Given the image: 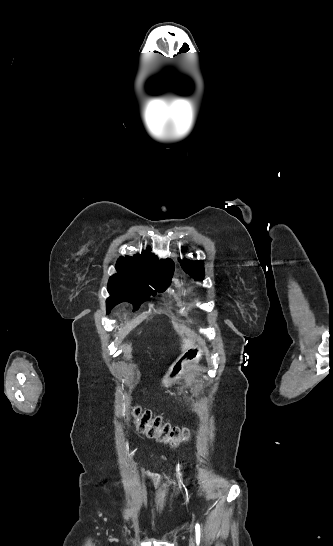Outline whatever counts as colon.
<instances>
[{
	"instance_id": "obj_1",
	"label": "colon",
	"mask_w": 333,
	"mask_h": 546,
	"mask_svg": "<svg viewBox=\"0 0 333 546\" xmlns=\"http://www.w3.org/2000/svg\"><path fill=\"white\" fill-rule=\"evenodd\" d=\"M134 423L137 430L171 447H178L188 441L189 432L185 428L171 426L165 423L159 416L153 415L149 410L141 407L133 409Z\"/></svg>"
}]
</instances>
